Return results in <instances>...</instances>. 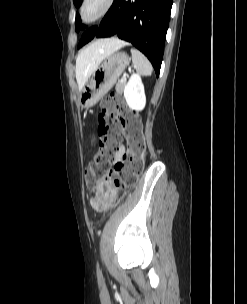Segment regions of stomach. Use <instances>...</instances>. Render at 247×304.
<instances>
[{"instance_id": "obj_1", "label": "stomach", "mask_w": 247, "mask_h": 304, "mask_svg": "<svg viewBox=\"0 0 247 304\" xmlns=\"http://www.w3.org/2000/svg\"><path fill=\"white\" fill-rule=\"evenodd\" d=\"M129 62L130 58L125 52H114L106 57L80 90L79 105L82 108L95 105L113 87Z\"/></svg>"}]
</instances>
